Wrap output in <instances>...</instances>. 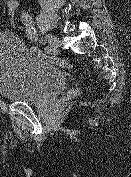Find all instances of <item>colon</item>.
<instances>
[{"instance_id":"5ec220e1","label":"colon","mask_w":131,"mask_h":177,"mask_svg":"<svg viewBox=\"0 0 131 177\" xmlns=\"http://www.w3.org/2000/svg\"><path fill=\"white\" fill-rule=\"evenodd\" d=\"M3 12L8 18V21L11 25V27L15 30L19 29V15H20V4L18 0H3ZM30 50L36 54L37 56L43 58L44 60L48 61L51 64L71 69L74 67V65L64 59L50 56L47 54L42 53L40 50H38L36 47L30 45Z\"/></svg>"}]
</instances>
